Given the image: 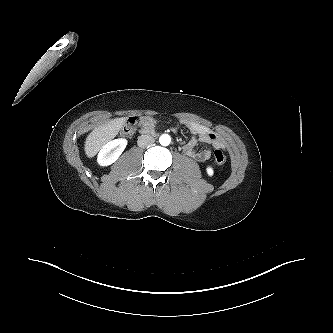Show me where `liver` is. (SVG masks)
Listing matches in <instances>:
<instances>
[{"mask_svg":"<svg viewBox=\"0 0 333 333\" xmlns=\"http://www.w3.org/2000/svg\"><path fill=\"white\" fill-rule=\"evenodd\" d=\"M125 117L113 119L105 124L96 127L86 138L85 152L87 157L91 158L97 152L113 139L126 122Z\"/></svg>","mask_w":333,"mask_h":333,"instance_id":"1","label":"liver"}]
</instances>
